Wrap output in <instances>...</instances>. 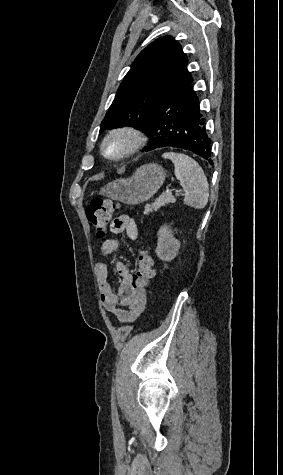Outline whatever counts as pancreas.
I'll return each mask as SVG.
<instances>
[{
  "label": "pancreas",
  "mask_w": 283,
  "mask_h": 475,
  "mask_svg": "<svg viewBox=\"0 0 283 475\" xmlns=\"http://www.w3.org/2000/svg\"><path fill=\"white\" fill-rule=\"evenodd\" d=\"M176 198L172 194H164V196H159L151 206H145L144 214H150V212H157L161 206H166V204H174Z\"/></svg>",
  "instance_id": "cf45deb5"
}]
</instances>
